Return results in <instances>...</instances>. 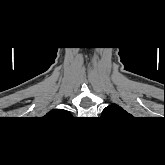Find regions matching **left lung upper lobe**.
Wrapping results in <instances>:
<instances>
[{"label": "left lung upper lobe", "mask_w": 165, "mask_h": 165, "mask_svg": "<svg viewBox=\"0 0 165 165\" xmlns=\"http://www.w3.org/2000/svg\"><path fill=\"white\" fill-rule=\"evenodd\" d=\"M102 116H110V117H113V116H124V115H128V113L123 110L121 107H119L118 105H115V104H112L108 107H106L103 112H102Z\"/></svg>", "instance_id": "left-lung-upper-lobe-1"}]
</instances>
